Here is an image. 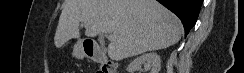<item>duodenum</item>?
Instances as JSON below:
<instances>
[{
	"label": "duodenum",
	"instance_id": "obj_1",
	"mask_svg": "<svg viewBox=\"0 0 244 73\" xmlns=\"http://www.w3.org/2000/svg\"><path fill=\"white\" fill-rule=\"evenodd\" d=\"M84 51L86 57L94 62L99 63V73H115L114 66L111 62H109V59L104 52V49L98 43L85 42Z\"/></svg>",
	"mask_w": 244,
	"mask_h": 73
}]
</instances>
